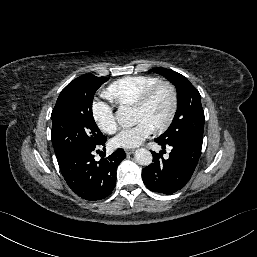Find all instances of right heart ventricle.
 Returning a JSON list of instances; mask_svg holds the SVG:
<instances>
[{
	"instance_id": "1",
	"label": "right heart ventricle",
	"mask_w": 257,
	"mask_h": 257,
	"mask_svg": "<svg viewBox=\"0 0 257 257\" xmlns=\"http://www.w3.org/2000/svg\"><path fill=\"white\" fill-rule=\"evenodd\" d=\"M159 80L153 76H128L111 83L104 96L119 106L132 107L149 87Z\"/></svg>"
}]
</instances>
